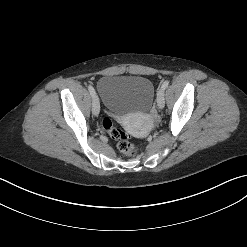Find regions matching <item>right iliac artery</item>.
Wrapping results in <instances>:
<instances>
[{
	"label": "right iliac artery",
	"instance_id": "right-iliac-artery-1",
	"mask_svg": "<svg viewBox=\"0 0 247 247\" xmlns=\"http://www.w3.org/2000/svg\"><path fill=\"white\" fill-rule=\"evenodd\" d=\"M88 90H89V92H90V94H91V96L94 98L95 97V90H94V88L91 86V85H89L88 86Z\"/></svg>",
	"mask_w": 247,
	"mask_h": 247
}]
</instances>
